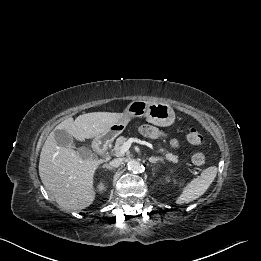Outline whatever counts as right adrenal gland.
<instances>
[{
	"instance_id": "1",
	"label": "right adrenal gland",
	"mask_w": 261,
	"mask_h": 261,
	"mask_svg": "<svg viewBox=\"0 0 261 261\" xmlns=\"http://www.w3.org/2000/svg\"><path fill=\"white\" fill-rule=\"evenodd\" d=\"M102 167H103V168H106V169H108V170H112V169H113V168L110 167L108 164H104Z\"/></svg>"
}]
</instances>
